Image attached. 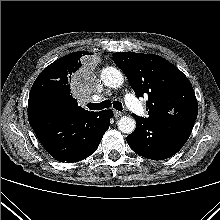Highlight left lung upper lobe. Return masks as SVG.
Segmentation results:
<instances>
[{"mask_svg":"<svg viewBox=\"0 0 220 220\" xmlns=\"http://www.w3.org/2000/svg\"><path fill=\"white\" fill-rule=\"evenodd\" d=\"M113 61L124 72L137 97L148 96V120H196L198 104L187 77L172 63L154 54L114 53Z\"/></svg>","mask_w":220,"mask_h":220,"instance_id":"5c2ea615","label":"left lung upper lobe"}]
</instances>
